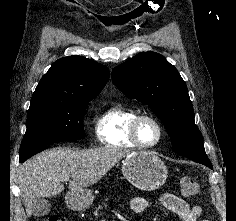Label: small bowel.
I'll return each instance as SVG.
<instances>
[{
    "mask_svg": "<svg viewBox=\"0 0 236 221\" xmlns=\"http://www.w3.org/2000/svg\"><path fill=\"white\" fill-rule=\"evenodd\" d=\"M160 203L164 208L175 213L178 216L179 221H197L202 215V208L200 206H191L181 197L171 193L162 195ZM148 206V200L143 197H133L130 200V209L134 213H142Z\"/></svg>",
    "mask_w": 236,
    "mask_h": 221,
    "instance_id": "c3829d8e",
    "label": "small bowel"
}]
</instances>
